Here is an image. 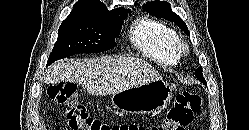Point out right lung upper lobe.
<instances>
[{
    "instance_id": "cb5924a9",
    "label": "right lung upper lobe",
    "mask_w": 249,
    "mask_h": 130,
    "mask_svg": "<svg viewBox=\"0 0 249 130\" xmlns=\"http://www.w3.org/2000/svg\"><path fill=\"white\" fill-rule=\"evenodd\" d=\"M104 7V4L99 0H79L73 6V11L93 12Z\"/></svg>"
}]
</instances>
